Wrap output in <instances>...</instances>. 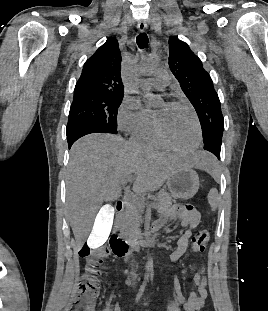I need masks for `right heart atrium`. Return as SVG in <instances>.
Instances as JSON below:
<instances>
[{"label":"right heart atrium","instance_id":"d8ad5b80","mask_svg":"<svg viewBox=\"0 0 268 311\" xmlns=\"http://www.w3.org/2000/svg\"><path fill=\"white\" fill-rule=\"evenodd\" d=\"M151 115L135 97L126 98L117 116L118 128L128 134H134L151 123Z\"/></svg>","mask_w":268,"mask_h":311}]
</instances>
